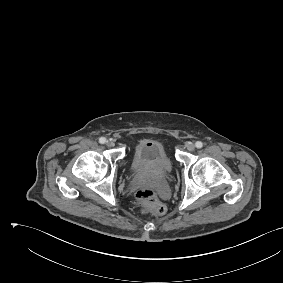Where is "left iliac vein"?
Here are the masks:
<instances>
[{
    "label": "left iliac vein",
    "instance_id": "left-iliac-vein-1",
    "mask_svg": "<svg viewBox=\"0 0 283 283\" xmlns=\"http://www.w3.org/2000/svg\"><path fill=\"white\" fill-rule=\"evenodd\" d=\"M187 150L190 151V152L194 151L195 150V145L193 143H189L187 145Z\"/></svg>",
    "mask_w": 283,
    "mask_h": 283
}]
</instances>
